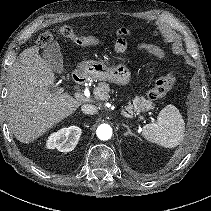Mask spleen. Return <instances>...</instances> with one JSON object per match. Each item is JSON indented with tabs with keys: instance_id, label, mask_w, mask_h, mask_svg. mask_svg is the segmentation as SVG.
<instances>
[{
	"instance_id": "3e777b00",
	"label": "spleen",
	"mask_w": 211,
	"mask_h": 211,
	"mask_svg": "<svg viewBox=\"0 0 211 211\" xmlns=\"http://www.w3.org/2000/svg\"><path fill=\"white\" fill-rule=\"evenodd\" d=\"M185 123L179 110L172 104L164 107L157 117V122L143 126V137L166 148H174L184 138Z\"/></svg>"
}]
</instances>
